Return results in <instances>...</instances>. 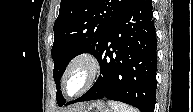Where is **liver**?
I'll use <instances>...</instances> for the list:
<instances>
[{
  "instance_id": "6515ba94",
  "label": "liver",
  "mask_w": 193,
  "mask_h": 112,
  "mask_svg": "<svg viewBox=\"0 0 193 112\" xmlns=\"http://www.w3.org/2000/svg\"><path fill=\"white\" fill-rule=\"evenodd\" d=\"M85 104H86V103L76 104V105H74L72 108H70L69 110H70L71 112H75V111H77L79 108L83 107Z\"/></svg>"
}]
</instances>
